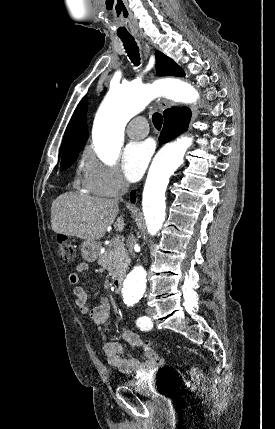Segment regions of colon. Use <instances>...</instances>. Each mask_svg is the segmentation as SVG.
Listing matches in <instances>:
<instances>
[{"instance_id":"5ec220e1","label":"colon","mask_w":275,"mask_h":429,"mask_svg":"<svg viewBox=\"0 0 275 429\" xmlns=\"http://www.w3.org/2000/svg\"><path fill=\"white\" fill-rule=\"evenodd\" d=\"M58 253L59 257L62 262L64 263H70L75 258V247L74 244L66 239V238H60L58 240ZM144 352L146 357L153 363L157 365H163V359L161 356H159L154 349L152 348L151 344L148 342L146 346L144 347ZM202 379V372L201 370L193 366L189 372V378L186 379L183 383V388L187 391H194L197 386L199 385L200 381Z\"/></svg>"}]
</instances>
